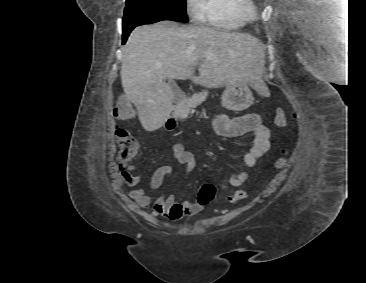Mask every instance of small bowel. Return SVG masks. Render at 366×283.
Masks as SVG:
<instances>
[{"mask_svg": "<svg viewBox=\"0 0 366 283\" xmlns=\"http://www.w3.org/2000/svg\"><path fill=\"white\" fill-rule=\"evenodd\" d=\"M215 132L224 138H236L244 135H252V145L244 155L243 161L247 168L256 165L259 158L267 153L270 147V131L262 123L259 114L249 113L235 118H229L223 113H218L213 119ZM175 160L184 165L185 172H191L196 165L194 156L185 150L182 143L173 146ZM120 177L123 184L131 187L127 195L141 209H147L151 204L155 216L164 217L169 220H177L185 215H192L198 212L201 206L190 201H177L173 195L160 196L152 203V193L157 191L163 184L166 177L171 175V166L159 167L152 175L149 183V191L144 188H135L141 180L135 168L130 164H121ZM248 178L246 170L233 173L229 178V185L239 187Z\"/></svg>", "mask_w": 366, "mask_h": 283, "instance_id": "small-bowel-1", "label": "small bowel"}]
</instances>
